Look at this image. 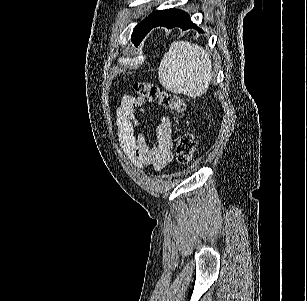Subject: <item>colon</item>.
Masks as SVG:
<instances>
[{"label":"colon","mask_w":307,"mask_h":301,"mask_svg":"<svg viewBox=\"0 0 307 301\" xmlns=\"http://www.w3.org/2000/svg\"><path fill=\"white\" fill-rule=\"evenodd\" d=\"M134 89L140 97L158 103L165 109L183 113L186 109L184 101L177 95L161 91L156 85L147 82H137ZM196 142L190 133L180 134L176 139L175 158L179 164H188L195 153Z\"/></svg>","instance_id":"1"}]
</instances>
